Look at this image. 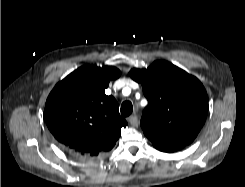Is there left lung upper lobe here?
<instances>
[{
	"label": "left lung upper lobe",
	"instance_id": "obj_1",
	"mask_svg": "<svg viewBox=\"0 0 245 187\" xmlns=\"http://www.w3.org/2000/svg\"><path fill=\"white\" fill-rule=\"evenodd\" d=\"M149 104L140 125L154 147L189 145L205 123L208 97L194 76L166 61L130 71Z\"/></svg>",
	"mask_w": 245,
	"mask_h": 187
}]
</instances>
